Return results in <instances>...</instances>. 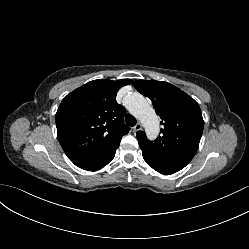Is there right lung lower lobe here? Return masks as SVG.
<instances>
[{
	"instance_id": "right-lung-lower-lobe-1",
	"label": "right lung lower lobe",
	"mask_w": 249,
	"mask_h": 249,
	"mask_svg": "<svg viewBox=\"0 0 249 249\" xmlns=\"http://www.w3.org/2000/svg\"><path fill=\"white\" fill-rule=\"evenodd\" d=\"M118 147L119 144L100 153L70 156L69 159L79 168L94 171L111 162Z\"/></svg>"
}]
</instances>
